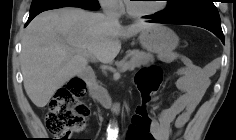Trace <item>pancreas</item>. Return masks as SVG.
<instances>
[{
    "instance_id": "cf45deb5",
    "label": "pancreas",
    "mask_w": 236,
    "mask_h": 140,
    "mask_svg": "<svg viewBox=\"0 0 236 140\" xmlns=\"http://www.w3.org/2000/svg\"><path fill=\"white\" fill-rule=\"evenodd\" d=\"M127 57H130V60L126 62L129 63L128 69H134L142 65H148L150 62L154 61V58L151 54L136 49L127 51L126 58Z\"/></svg>"
}]
</instances>
